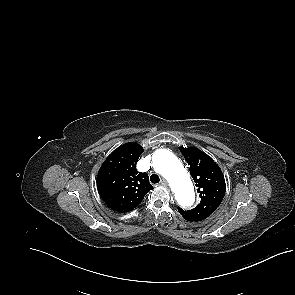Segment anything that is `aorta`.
<instances>
[{
	"instance_id": "aorta-1",
	"label": "aorta",
	"mask_w": 295,
	"mask_h": 295,
	"mask_svg": "<svg viewBox=\"0 0 295 295\" xmlns=\"http://www.w3.org/2000/svg\"><path fill=\"white\" fill-rule=\"evenodd\" d=\"M155 170L170 184L175 199L183 208H190L195 201L193 183L179 159L167 149L157 150L152 157Z\"/></svg>"
}]
</instances>
